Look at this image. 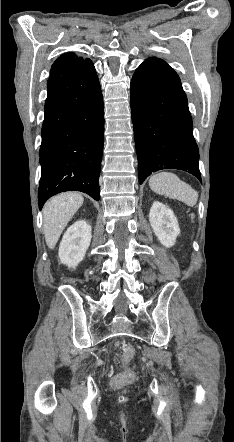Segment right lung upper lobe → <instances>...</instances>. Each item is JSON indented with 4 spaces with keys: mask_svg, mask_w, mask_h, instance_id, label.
<instances>
[{
    "mask_svg": "<svg viewBox=\"0 0 234 442\" xmlns=\"http://www.w3.org/2000/svg\"><path fill=\"white\" fill-rule=\"evenodd\" d=\"M89 63L90 59L78 57L74 53L63 54L52 65L50 78L71 75Z\"/></svg>",
    "mask_w": 234,
    "mask_h": 442,
    "instance_id": "obj_1",
    "label": "right lung upper lobe"
}]
</instances>
